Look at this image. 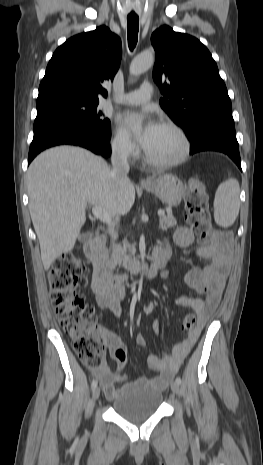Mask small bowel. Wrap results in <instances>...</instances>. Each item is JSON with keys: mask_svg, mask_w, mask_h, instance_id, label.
Segmentation results:
<instances>
[{"mask_svg": "<svg viewBox=\"0 0 263 465\" xmlns=\"http://www.w3.org/2000/svg\"><path fill=\"white\" fill-rule=\"evenodd\" d=\"M193 241L194 235L187 227H179L174 232L173 242L178 246L186 247ZM169 251L170 245L165 242L155 249L154 257L163 252L169 253ZM196 252L201 258L210 260L206 266L192 269L185 276L186 283L198 296H177L174 298V303L194 310L198 316L199 325L190 331L185 339L175 344L170 352H164L161 356L148 355V367L151 371L157 372L158 376L153 378L141 376L136 381L126 382V374L123 372L127 361L125 346L115 334L101 330L110 356L117 365L115 372L107 366L94 371L108 399H115L136 386H147L157 391L164 390L198 340L202 327L217 308L225 288L229 269V237L221 235L210 244L198 246ZM96 292V302L100 308L109 309L117 316L122 314L123 290L111 295ZM152 329L156 334L159 332L158 318L152 321ZM135 343L138 347L146 345L144 337L140 334L136 336ZM119 383H122V386L117 387Z\"/></svg>", "mask_w": 263, "mask_h": 465, "instance_id": "obj_1", "label": "small bowel"}]
</instances>
